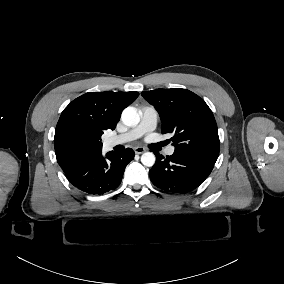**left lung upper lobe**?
<instances>
[{
	"label": "left lung upper lobe",
	"mask_w": 284,
	"mask_h": 284,
	"mask_svg": "<svg viewBox=\"0 0 284 284\" xmlns=\"http://www.w3.org/2000/svg\"><path fill=\"white\" fill-rule=\"evenodd\" d=\"M158 111L162 133H172L175 152L215 163L219 155L217 124L211 109L195 93L180 88L143 91Z\"/></svg>",
	"instance_id": "1"
}]
</instances>
